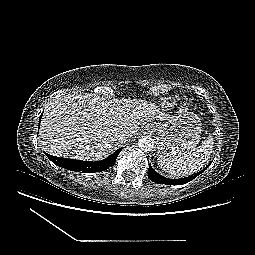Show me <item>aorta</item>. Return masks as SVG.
I'll return each mask as SVG.
<instances>
[{
    "label": "aorta",
    "mask_w": 255,
    "mask_h": 255,
    "mask_svg": "<svg viewBox=\"0 0 255 255\" xmlns=\"http://www.w3.org/2000/svg\"><path fill=\"white\" fill-rule=\"evenodd\" d=\"M138 146L144 152L152 151L154 148V139L149 136H142L138 141Z\"/></svg>",
    "instance_id": "obj_1"
}]
</instances>
